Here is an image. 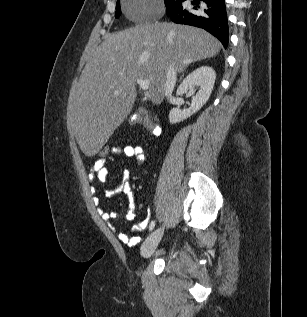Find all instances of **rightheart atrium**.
<instances>
[{"label":"right heart atrium","instance_id":"d8ad5b80","mask_svg":"<svg viewBox=\"0 0 307 317\" xmlns=\"http://www.w3.org/2000/svg\"><path fill=\"white\" fill-rule=\"evenodd\" d=\"M146 1L147 0H140V3H145ZM155 13L156 11L153 7L137 5L131 16L135 19H144L154 16Z\"/></svg>","mask_w":307,"mask_h":317}]
</instances>
